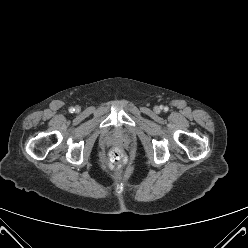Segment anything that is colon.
<instances>
[{"label":"colon","mask_w":248,"mask_h":248,"mask_svg":"<svg viewBox=\"0 0 248 248\" xmlns=\"http://www.w3.org/2000/svg\"><path fill=\"white\" fill-rule=\"evenodd\" d=\"M126 160L125 153L120 148L113 149L109 154V164L111 167L119 168Z\"/></svg>","instance_id":"colon-1"}]
</instances>
